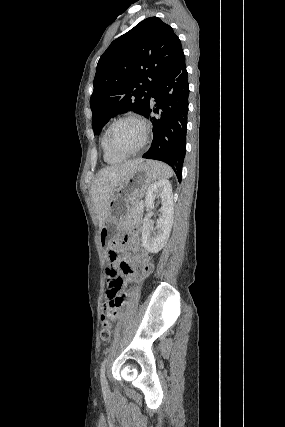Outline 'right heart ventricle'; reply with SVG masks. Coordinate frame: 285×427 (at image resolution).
Listing matches in <instances>:
<instances>
[{"instance_id":"right-heart-ventricle-1","label":"right heart ventricle","mask_w":285,"mask_h":427,"mask_svg":"<svg viewBox=\"0 0 285 427\" xmlns=\"http://www.w3.org/2000/svg\"><path fill=\"white\" fill-rule=\"evenodd\" d=\"M106 131H107V129H105V131L103 132V134L101 136V140H100V144H101V148H102V152H103V158H104L105 162H107L109 164L120 163L123 160H125L126 157L114 154L109 150V148L106 144Z\"/></svg>"}]
</instances>
